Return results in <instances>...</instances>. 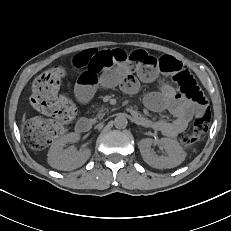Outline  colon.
<instances>
[{"label": "colon", "mask_w": 231, "mask_h": 231, "mask_svg": "<svg viewBox=\"0 0 231 231\" xmlns=\"http://www.w3.org/2000/svg\"><path fill=\"white\" fill-rule=\"evenodd\" d=\"M141 56V50H135L129 52L127 58L138 61ZM63 72L62 67L51 68L38 76L33 83L30 103L35 110L45 116L35 117L27 125L26 139L34 149H43L50 145L63 133L65 125L75 115L73 103L58 93ZM174 79L182 93L197 99L204 106V110L194 122L192 133L184 135L180 140L183 146L191 147L207 133L210 111L205 98L199 94L193 78L179 73Z\"/></svg>", "instance_id": "obj_1"}]
</instances>
